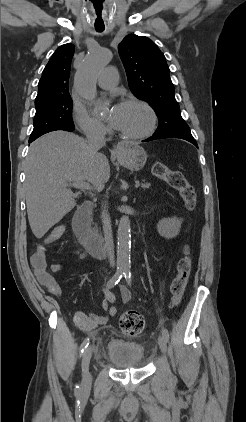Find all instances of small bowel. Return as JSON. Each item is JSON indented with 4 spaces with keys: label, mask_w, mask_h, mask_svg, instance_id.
I'll list each match as a JSON object with an SVG mask.
<instances>
[{
    "label": "small bowel",
    "mask_w": 246,
    "mask_h": 422,
    "mask_svg": "<svg viewBox=\"0 0 246 422\" xmlns=\"http://www.w3.org/2000/svg\"><path fill=\"white\" fill-rule=\"evenodd\" d=\"M61 269V264H54L51 266L52 273L58 272ZM38 278L41 284H43L51 293L57 296L61 295L62 288L51 273L46 272L44 275H38ZM103 292L104 299L102 306L105 309V314L97 315L77 312L75 314L74 321L79 329L85 332H91L98 326L105 324L109 318L114 317L117 314V309L114 306L116 300L115 295L106 287L103 289ZM121 295L124 302L130 301L131 293L125 286H123L121 289Z\"/></svg>",
    "instance_id": "small-bowel-1"
}]
</instances>
